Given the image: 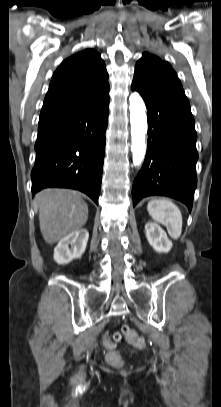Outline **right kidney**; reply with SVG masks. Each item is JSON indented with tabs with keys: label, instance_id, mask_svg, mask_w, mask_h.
I'll return each instance as SVG.
<instances>
[{
	"label": "right kidney",
	"instance_id": "right-kidney-1",
	"mask_svg": "<svg viewBox=\"0 0 221 407\" xmlns=\"http://www.w3.org/2000/svg\"><path fill=\"white\" fill-rule=\"evenodd\" d=\"M89 233L80 229L62 238L54 249V260L58 264H67L78 259L85 252Z\"/></svg>",
	"mask_w": 221,
	"mask_h": 407
}]
</instances>
